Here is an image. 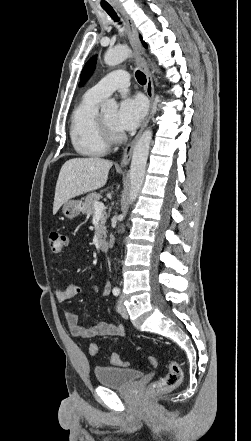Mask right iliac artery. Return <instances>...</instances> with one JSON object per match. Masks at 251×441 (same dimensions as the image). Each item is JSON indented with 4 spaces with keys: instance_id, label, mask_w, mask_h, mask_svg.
Returning <instances> with one entry per match:
<instances>
[{
    "instance_id": "1",
    "label": "right iliac artery",
    "mask_w": 251,
    "mask_h": 441,
    "mask_svg": "<svg viewBox=\"0 0 251 441\" xmlns=\"http://www.w3.org/2000/svg\"><path fill=\"white\" fill-rule=\"evenodd\" d=\"M112 292H113L114 296H118L120 293V290L118 288H114Z\"/></svg>"
}]
</instances>
